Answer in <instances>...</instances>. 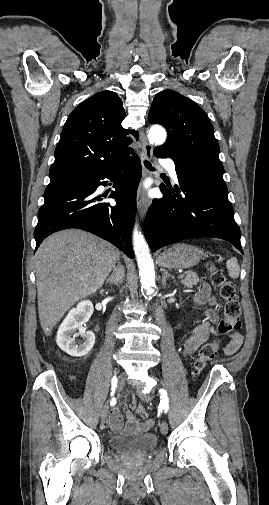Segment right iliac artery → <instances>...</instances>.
<instances>
[{"label": "right iliac artery", "mask_w": 269, "mask_h": 505, "mask_svg": "<svg viewBox=\"0 0 269 505\" xmlns=\"http://www.w3.org/2000/svg\"><path fill=\"white\" fill-rule=\"evenodd\" d=\"M116 379H117V378H116L115 376L112 378V388H111V390H112V391H111V395H112V396H113V394H114V392H115V389H116V386H117V385H115Z\"/></svg>", "instance_id": "1"}]
</instances>
